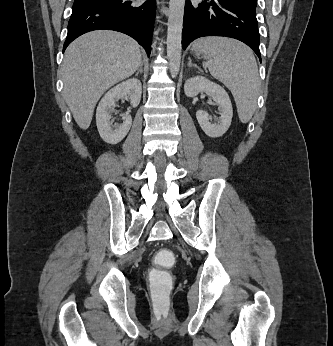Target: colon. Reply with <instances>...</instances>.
I'll return each mask as SVG.
<instances>
[{
    "instance_id": "colon-1",
    "label": "colon",
    "mask_w": 333,
    "mask_h": 346,
    "mask_svg": "<svg viewBox=\"0 0 333 346\" xmlns=\"http://www.w3.org/2000/svg\"><path fill=\"white\" fill-rule=\"evenodd\" d=\"M174 250L162 249L152 258V269H150V288L152 308L157 313L162 314L169 307V294L172 288H175V281H172L171 275L166 271L174 270Z\"/></svg>"
}]
</instances>
